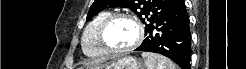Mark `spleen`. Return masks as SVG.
<instances>
[{
  "label": "spleen",
  "mask_w": 246,
  "mask_h": 69,
  "mask_svg": "<svg viewBox=\"0 0 246 69\" xmlns=\"http://www.w3.org/2000/svg\"><path fill=\"white\" fill-rule=\"evenodd\" d=\"M142 57L145 59L147 69H177V66L165 56L143 52Z\"/></svg>",
  "instance_id": "obj_1"
}]
</instances>
